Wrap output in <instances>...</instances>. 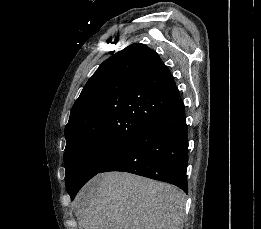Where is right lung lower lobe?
I'll list each match as a JSON object with an SVG mask.
<instances>
[{"instance_id":"right-lung-lower-lobe-1","label":"right lung lower lobe","mask_w":261,"mask_h":229,"mask_svg":"<svg viewBox=\"0 0 261 229\" xmlns=\"http://www.w3.org/2000/svg\"><path fill=\"white\" fill-rule=\"evenodd\" d=\"M188 130L181 99L99 173L124 171L188 192Z\"/></svg>"}]
</instances>
